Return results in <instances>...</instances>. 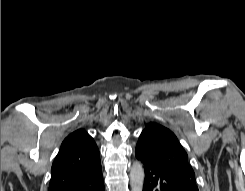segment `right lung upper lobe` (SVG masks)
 <instances>
[{"label": "right lung upper lobe", "mask_w": 245, "mask_h": 191, "mask_svg": "<svg viewBox=\"0 0 245 191\" xmlns=\"http://www.w3.org/2000/svg\"><path fill=\"white\" fill-rule=\"evenodd\" d=\"M100 170V155L96 143L87 132L79 129L62 142L52 164L49 191H62Z\"/></svg>", "instance_id": "obj_1"}]
</instances>
